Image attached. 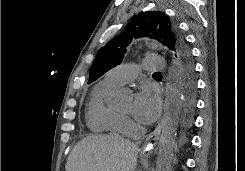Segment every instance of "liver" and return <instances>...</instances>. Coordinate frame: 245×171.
<instances>
[{
  "label": "liver",
  "instance_id": "6515ba94",
  "mask_svg": "<svg viewBox=\"0 0 245 171\" xmlns=\"http://www.w3.org/2000/svg\"><path fill=\"white\" fill-rule=\"evenodd\" d=\"M140 149L129 140L92 135L71 151L66 171H134Z\"/></svg>",
  "mask_w": 245,
  "mask_h": 171
}]
</instances>
